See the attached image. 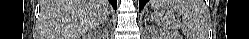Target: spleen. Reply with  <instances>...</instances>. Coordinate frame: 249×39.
<instances>
[{
  "label": "spleen",
  "mask_w": 249,
  "mask_h": 39,
  "mask_svg": "<svg viewBox=\"0 0 249 39\" xmlns=\"http://www.w3.org/2000/svg\"><path fill=\"white\" fill-rule=\"evenodd\" d=\"M150 4L154 9L152 20L164 31L181 28L188 39H206L210 17L202 0H151ZM160 7L168 12H158ZM168 34L175 36L173 32Z\"/></svg>",
  "instance_id": "spleen-1"
}]
</instances>
